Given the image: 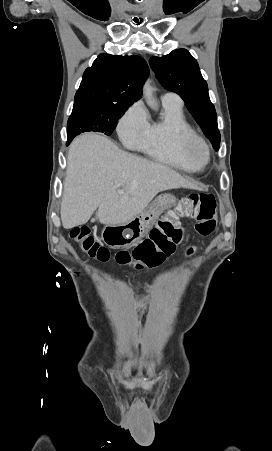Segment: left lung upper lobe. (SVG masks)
<instances>
[{"instance_id":"1","label":"left lung upper lobe","mask_w":272,"mask_h":451,"mask_svg":"<svg viewBox=\"0 0 272 451\" xmlns=\"http://www.w3.org/2000/svg\"><path fill=\"white\" fill-rule=\"evenodd\" d=\"M150 65L162 86L181 96L206 137L218 150L217 115L196 59L186 49H178L163 57H152Z\"/></svg>"}]
</instances>
